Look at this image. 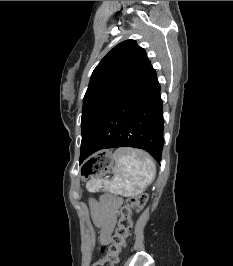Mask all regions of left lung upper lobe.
<instances>
[{
  "label": "left lung upper lobe",
  "mask_w": 233,
  "mask_h": 266,
  "mask_svg": "<svg viewBox=\"0 0 233 266\" xmlns=\"http://www.w3.org/2000/svg\"><path fill=\"white\" fill-rule=\"evenodd\" d=\"M145 50L135 40L114 47L94 69L83 99L81 149L101 119L148 63Z\"/></svg>",
  "instance_id": "5c2ea615"
}]
</instances>
